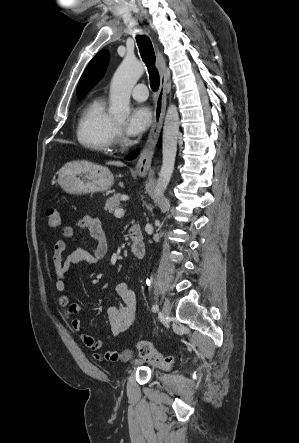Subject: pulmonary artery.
<instances>
[{"instance_id": "pulmonary-artery-1", "label": "pulmonary artery", "mask_w": 299, "mask_h": 443, "mask_svg": "<svg viewBox=\"0 0 299 443\" xmlns=\"http://www.w3.org/2000/svg\"><path fill=\"white\" fill-rule=\"evenodd\" d=\"M132 97L137 101H145L148 97V89L145 84L139 83L132 89Z\"/></svg>"}]
</instances>
